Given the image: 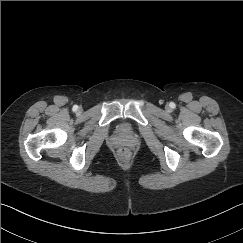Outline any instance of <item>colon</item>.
Returning <instances> with one entry per match:
<instances>
[{
	"label": "colon",
	"mask_w": 243,
	"mask_h": 243,
	"mask_svg": "<svg viewBox=\"0 0 243 243\" xmlns=\"http://www.w3.org/2000/svg\"><path fill=\"white\" fill-rule=\"evenodd\" d=\"M118 156L124 162H128L129 161V153H128V151L125 148H120L118 150Z\"/></svg>",
	"instance_id": "1"
}]
</instances>
